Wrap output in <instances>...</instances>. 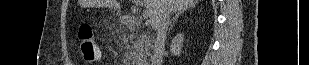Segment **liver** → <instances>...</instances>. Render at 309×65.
<instances>
[{"label": "liver", "instance_id": "obj_1", "mask_svg": "<svg viewBox=\"0 0 309 65\" xmlns=\"http://www.w3.org/2000/svg\"><path fill=\"white\" fill-rule=\"evenodd\" d=\"M144 6L149 11L150 24L157 29L163 15L167 12L176 13L195 6L198 0H143ZM83 6L108 7L120 14L122 5L117 0H84Z\"/></svg>", "mask_w": 309, "mask_h": 65}]
</instances>
